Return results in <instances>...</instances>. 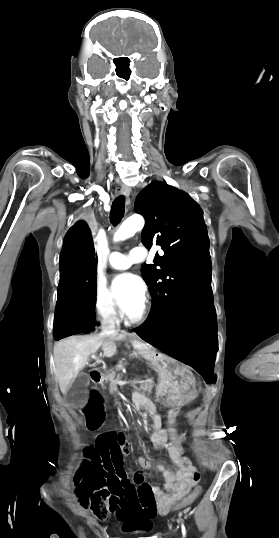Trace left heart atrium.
I'll use <instances>...</instances> for the list:
<instances>
[{
  "instance_id": "obj_1",
  "label": "left heart atrium",
  "mask_w": 279,
  "mask_h": 538,
  "mask_svg": "<svg viewBox=\"0 0 279 538\" xmlns=\"http://www.w3.org/2000/svg\"><path fill=\"white\" fill-rule=\"evenodd\" d=\"M113 286L124 311L143 305L146 288L140 277L132 273H123L114 279Z\"/></svg>"
}]
</instances>
